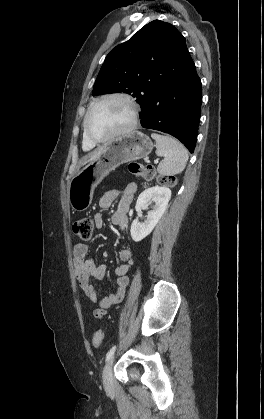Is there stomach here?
Listing matches in <instances>:
<instances>
[{
    "instance_id": "stomach-1",
    "label": "stomach",
    "mask_w": 264,
    "mask_h": 419,
    "mask_svg": "<svg viewBox=\"0 0 264 419\" xmlns=\"http://www.w3.org/2000/svg\"><path fill=\"white\" fill-rule=\"evenodd\" d=\"M152 149L150 138L139 131L106 143L101 153L69 182L68 199L72 210H86L92 202L95 188L109 172L123 163L148 156Z\"/></svg>"
}]
</instances>
